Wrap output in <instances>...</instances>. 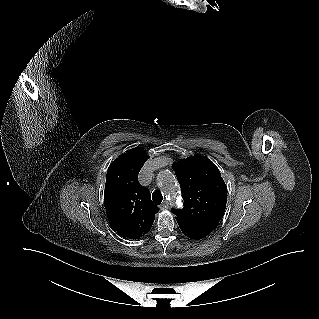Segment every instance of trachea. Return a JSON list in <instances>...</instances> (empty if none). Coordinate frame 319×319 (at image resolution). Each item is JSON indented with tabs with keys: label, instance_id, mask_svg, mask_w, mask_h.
<instances>
[{
	"label": "trachea",
	"instance_id": "3493384b",
	"mask_svg": "<svg viewBox=\"0 0 319 319\" xmlns=\"http://www.w3.org/2000/svg\"><path fill=\"white\" fill-rule=\"evenodd\" d=\"M153 202L157 205L161 204L163 196L160 191H154L152 194Z\"/></svg>",
	"mask_w": 319,
	"mask_h": 319
}]
</instances>
